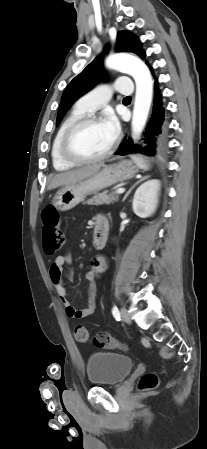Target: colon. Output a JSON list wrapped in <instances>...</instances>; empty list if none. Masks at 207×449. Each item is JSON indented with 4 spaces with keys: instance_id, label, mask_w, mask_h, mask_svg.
Wrapping results in <instances>:
<instances>
[{
    "instance_id": "5ec220e1",
    "label": "colon",
    "mask_w": 207,
    "mask_h": 449,
    "mask_svg": "<svg viewBox=\"0 0 207 449\" xmlns=\"http://www.w3.org/2000/svg\"><path fill=\"white\" fill-rule=\"evenodd\" d=\"M42 219V246L46 255H54L64 244L65 237L60 229V217L53 206H47L41 213ZM75 338L82 343L93 342L102 348H122V344L106 332H99L92 339L87 329L81 325L74 328ZM159 383L158 376L154 372L145 373L140 381L139 388L142 391L155 389Z\"/></svg>"
}]
</instances>
